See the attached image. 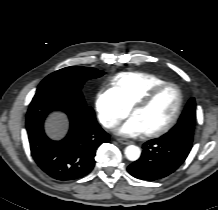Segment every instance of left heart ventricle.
Returning <instances> with one entry per match:
<instances>
[{"mask_svg": "<svg viewBox=\"0 0 218 210\" xmlns=\"http://www.w3.org/2000/svg\"><path fill=\"white\" fill-rule=\"evenodd\" d=\"M178 103V94L174 87L161 91L151 104L136 109L133 116L137 117L144 129L150 132L163 127L173 116Z\"/></svg>", "mask_w": 218, "mask_h": 210, "instance_id": "obj_1", "label": "left heart ventricle"}]
</instances>
